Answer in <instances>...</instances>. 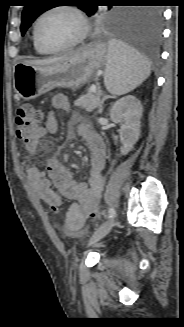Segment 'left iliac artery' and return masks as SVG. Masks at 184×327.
<instances>
[{
  "instance_id": "obj_1",
  "label": "left iliac artery",
  "mask_w": 184,
  "mask_h": 327,
  "mask_svg": "<svg viewBox=\"0 0 184 327\" xmlns=\"http://www.w3.org/2000/svg\"><path fill=\"white\" fill-rule=\"evenodd\" d=\"M108 212H109V217L110 218L115 217L116 211H115V209L113 207L109 208Z\"/></svg>"
}]
</instances>
